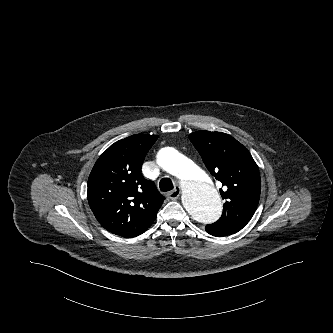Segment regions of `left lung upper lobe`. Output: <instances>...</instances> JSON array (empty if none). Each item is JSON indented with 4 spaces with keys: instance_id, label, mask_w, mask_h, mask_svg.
I'll return each mask as SVG.
<instances>
[{
    "instance_id": "left-lung-upper-lobe-1",
    "label": "left lung upper lobe",
    "mask_w": 333,
    "mask_h": 333,
    "mask_svg": "<svg viewBox=\"0 0 333 333\" xmlns=\"http://www.w3.org/2000/svg\"><path fill=\"white\" fill-rule=\"evenodd\" d=\"M189 139L210 173L223 185V214L215 222L242 229L252 218L259 202V168L249 151L222 132L198 131Z\"/></svg>"
}]
</instances>
